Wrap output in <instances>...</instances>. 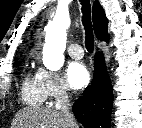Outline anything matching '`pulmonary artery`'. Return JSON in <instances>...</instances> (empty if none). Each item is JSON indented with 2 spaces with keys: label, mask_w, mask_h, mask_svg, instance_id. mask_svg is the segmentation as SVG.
Masks as SVG:
<instances>
[{
  "label": "pulmonary artery",
  "mask_w": 142,
  "mask_h": 128,
  "mask_svg": "<svg viewBox=\"0 0 142 128\" xmlns=\"http://www.w3.org/2000/svg\"><path fill=\"white\" fill-rule=\"evenodd\" d=\"M67 51L74 59H81L84 55L82 47L77 43H72L68 46Z\"/></svg>",
  "instance_id": "e3ab8cb5"
}]
</instances>
